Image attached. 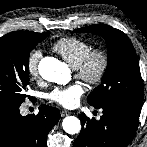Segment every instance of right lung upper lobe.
Wrapping results in <instances>:
<instances>
[{
	"label": "right lung upper lobe",
	"instance_id": "obj_1",
	"mask_svg": "<svg viewBox=\"0 0 147 147\" xmlns=\"http://www.w3.org/2000/svg\"><path fill=\"white\" fill-rule=\"evenodd\" d=\"M31 33H34V32L14 31V32H11V33H8V34L9 35H15V34H31Z\"/></svg>",
	"mask_w": 147,
	"mask_h": 147
}]
</instances>
